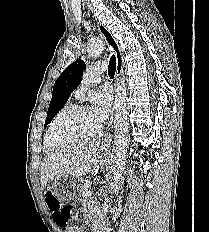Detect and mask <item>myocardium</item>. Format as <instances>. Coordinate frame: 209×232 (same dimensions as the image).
I'll use <instances>...</instances> for the list:
<instances>
[{
  "label": "myocardium",
  "instance_id": "f54148a6",
  "mask_svg": "<svg viewBox=\"0 0 209 232\" xmlns=\"http://www.w3.org/2000/svg\"><path fill=\"white\" fill-rule=\"evenodd\" d=\"M87 109H88V107L86 105H82V104L81 105H74V106L66 109L62 114H60V116L55 121L51 122V124L48 127L47 135H48L49 142L56 147H63V146H67V145H70L73 143L89 140V139H92V138L99 136L102 132V129H103L101 124L98 126V128L95 132L88 134V135H85V136H82V137H77V138H72V139H67V140H60L54 136V129L59 122H61L62 120L66 119L72 115H75L81 111L87 110Z\"/></svg>",
  "mask_w": 209,
  "mask_h": 232
}]
</instances>
